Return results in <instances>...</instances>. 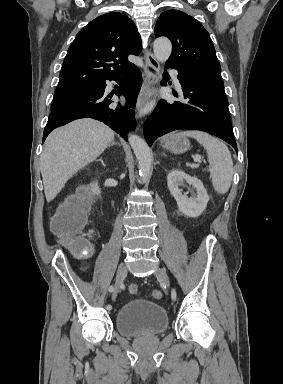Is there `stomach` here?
<instances>
[{"label":"stomach","mask_w":283,"mask_h":384,"mask_svg":"<svg viewBox=\"0 0 283 384\" xmlns=\"http://www.w3.org/2000/svg\"><path fill=\"white\" fill-rule=\"evenodd\" d=\"M165 150L173 152V154H184L190 148L189 140L187 138H175V136H166L164 140Z\"/></svg>","instance_id":"1"}]
</instances>
